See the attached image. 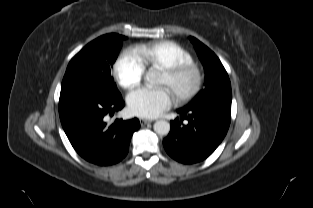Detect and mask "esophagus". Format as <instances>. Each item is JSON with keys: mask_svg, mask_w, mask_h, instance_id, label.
I'll return each mask as SVG.
<instances>
[{"mask_svg": "<svg viewBox=\"0 0 313 208\" xmlns=\"http://www.w3.org/2000/svg\"><path fill=\"white\" fill-rule=\"evenodd\" d=\"M152 122V120H148V119H140V124H141V126H144V125H146V124H148V123H151Z\"/></svg>", "mask_w": 313, "mask_h": 208, "instance_id": "obj_1", "label": "esophagus"}]
</instances>
